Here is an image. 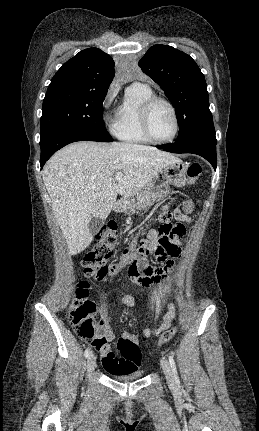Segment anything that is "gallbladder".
<instances>
[{
    "label": "gallbladder",
    "instance_id": "bac80fb5",
    "mask_svg": "<svg viewBox=\"0 0 259 431\" xmlns=\"http://www.w3.org/2000/svg\"><path fill=\"white\" fill-rule=\"evenodd\" d=\"M102 227V220L98 217H91L89 221V230L92 235H95Z\"/></svg>",
    "mask_w": 259,
    "mask_h": 431
}]
</instances>
